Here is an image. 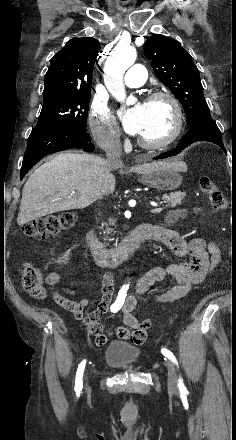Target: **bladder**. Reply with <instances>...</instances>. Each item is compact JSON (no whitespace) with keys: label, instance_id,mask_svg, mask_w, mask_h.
I'll return each mask as SVG.
<instances>
[{"label":"bladder","instance_id":"1","mask_svg":"<svg viewBox=\"0 0 236 440\" xmlns=\"http://www.w3.org/2000/svg\"><path fill=\"white\" fill-rule=\"evenodd\" d=\"M140 349L123 341L111 342L105 352V363L117 369H131L139 361Z\"/></svg>","mask_w":236,"mask_h":440}]
</instances>
